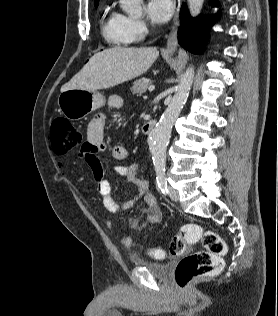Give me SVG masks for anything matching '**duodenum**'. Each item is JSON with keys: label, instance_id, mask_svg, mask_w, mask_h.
<instances>
[{"label": "duodenum", "instance_id": "1", "mask_svg": "<svg viewBox=\"0 0 278 316\" xmlns=\"http://www.w3.org/2000/svg\"><path fill=\"white\" fill-rule=\"evenodd\" d=\"M156 125V121L155 120H148L146 121L143 126H142V132L144 134H150L151 131L154 129Z\"/></svg>", "mask_w": 278, "mask_h": 316}]
</instances>
